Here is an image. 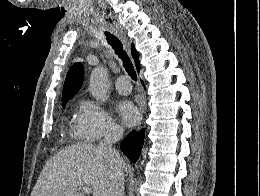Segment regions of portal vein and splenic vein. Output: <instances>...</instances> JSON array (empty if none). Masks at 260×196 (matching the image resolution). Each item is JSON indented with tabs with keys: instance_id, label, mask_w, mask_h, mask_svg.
Wrapping results in <instances>:
<instances>
[{
	"instance_id": "18ae733b",
	"label": "portal vein and splenic vein",
	"mask_w": 260,
	"mask_h": 196,
	"mask_svg": "<svg viewBox=\"0 0 260 196\" xmlns=\"http://www.w3.org/2000/svg\"><path fill=\"white\" fill-rule=\"evenodd\" d=\"M84 194H92L91 188H88V186H81Z\"/></svg>"
}]
</instances>
